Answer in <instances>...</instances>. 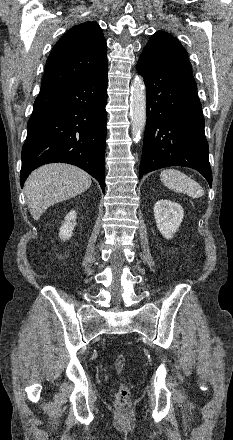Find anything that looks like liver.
<instances>
[{"label":"liver","instance_id":"obj_1","mask_svg":"<svg viewBox=\"0 0 233 440\" xmlns=\"http://www.w3.org/2000/svg\"><path fill=\"white\" fill-rule=\"evenodd\" d=\"M91 183V176L73 165L54 163L36 169L24 186L33 219L38 220L50 206L83 193Z\"/></svg>","mask_w":233,"mask_h":440}]
</instances>
